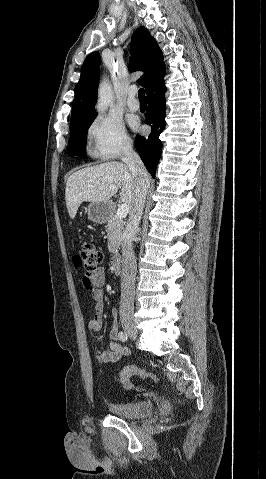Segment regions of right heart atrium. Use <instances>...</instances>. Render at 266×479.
<instances>
[{
    "label": "right heart atrium",
    "mask_w": 266,
    "mask_h": 479,
    "mask_svg": "<svg viewBox=\"0 0 266 479\" xmlns=\"http://www.w3.org/2000/svg\"><path fill=\"white\" fill-rule=\"evenodd\" d=\"M87 137L92 154L100 159H116L130 149V139L122 123L112 117L100 115L90 124Z\"/></svg>",
    "instance_id": "d8ad5b80"
}]
</instances>
